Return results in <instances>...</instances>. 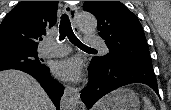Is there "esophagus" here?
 Here are the masks:
<instances>
[{
	"mask_svg": "<svg viewBox=\"0 0 171 110\" xmlns=\"http://www.w3.org/2000/svg\"><path fill=\"white\" fill-rule=\"evenodd\" d=\"M64 12L69 15L73 28L75 31L78 30V27L76 25V16L78 12V7L74 5L66 4L64 6ZM80 103V94L78 88L72 87V86H66L64 95L61 99V108L63 110H73L78 107Z\"/></svg>",
	"mask_w": 171,
	"mask_h": 110,
	"instance_id": "34e87169",
	"label": "esophagus"
}]
</instances>
